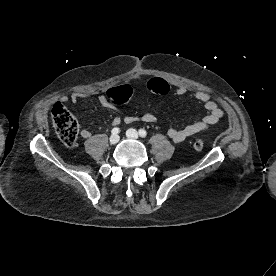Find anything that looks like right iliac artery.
Returning <instances> with one entry per match:
<instances>
[{"label":"right iliac artery","mask_w":276,"mask_h":276,"mask_svg":"<svg viewBox=\"0 0 276 276\" xmlns=\"http://www.w3.org/2000/svg\"><path fill=\"white\" fill-rule=\"evenodd\" d=\"M111 132H112V134H118L120 132V129L115 127V128L112 129Z\"/></svg>","instance_id":"1"}]
</instances>
